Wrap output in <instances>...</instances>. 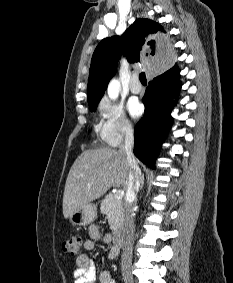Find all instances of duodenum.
I'll list each match as a JSON object with an SVG mask.
<instances>
[{"label":"duodenum","instance_id":"duodenum-1","mask_svg":"<svg viewBox=\"0 0 233 283\" xmlns=\"http://www.w3.org/2000/svg\"><path fill=\"white\" fill-rule=\"evenodd\" d=\"M125 240V232L120 230L117 232L115 239H114V247L119 252Z\"/></svg>","mask_w":233,"mask_h":283}]
</instances>
